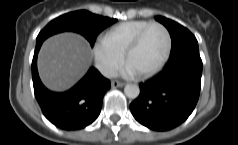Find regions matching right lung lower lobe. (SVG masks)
Segmentation results:
<instances>
[{
    "instance_id": "obj_1",
    "label": "right lung lower lobe",
    "mask_w": 238,
    "mask_h": 145,
    "mask_svg": "<svg viewBox=\"0 0 238 145\" xmlns=\"http://www.w3.org/2000/svg\"><path fill=\"white\" fill-rule=\"evenodd\" d=\"M42 42L36 43L32 60V80L35 97L45 117L56 127L64 130H79L98 117L102 100L110 88V81L91 67L83 79L64 93L47 90L37 71V55Z\"/></svg>"
}]
</instances>
